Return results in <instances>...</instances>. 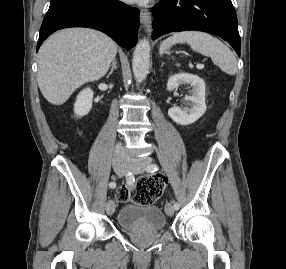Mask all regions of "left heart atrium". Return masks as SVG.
Instances as JSON below:
<instances>
[{
	"label": "left heart atrium",
	"instance_id": "obj_1",
	"mask_svg": "<svg viewBox=\"0 0 286 269\" xmlns=\"http://www.w3.org/2000/svg\"><path fill=\"white\" fill-rule=\"evenodd\" d=\"M128 3H137V4H145L151 0H123Z\"/></svg>",
	"mask_w": 286,
	"mask_h": 269
}]
</instances>
